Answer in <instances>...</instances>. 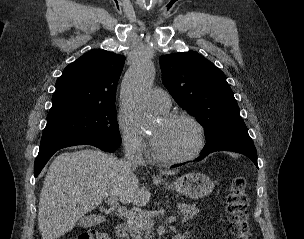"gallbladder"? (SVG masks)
I'll return each instance as SVG.
<instances>
[{"label":"gallbladder","instance_id":"obj_1","mask_svg":"<svg viewBox=\"0 0 304 239\" xmlns=\"http://www.w3.org/2000/svg\"><path fill=\"white\" fill-rule=\"evenodd\" d=\"M78 225L81 226V227H89V226L93 225V217L92 216H87V217L81 218L79 220Z\"/></svg>","mask_w":304,"mask_h":239}]
</instances>
